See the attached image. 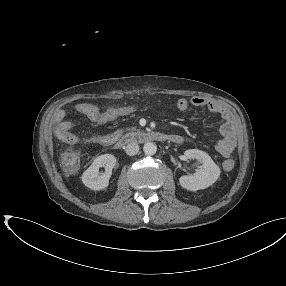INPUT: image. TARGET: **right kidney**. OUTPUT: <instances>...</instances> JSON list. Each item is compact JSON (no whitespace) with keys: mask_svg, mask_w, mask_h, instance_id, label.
<instances>
[{"mask_svg":"<svg viewBox=\"0 0 286 286\" xmlns=\"http://www.w3.org/2000/svg\"><path fill=\"white\" fill-rule=\"evenodd\" d=\"M116 158L112 154H103L94 159L92 164L82 174V182L92 190H103L108 187L112 170L116 165ZM100 167L105 168V172L100 175Z\"/></svg>","mask_w":286,"mask_h":286,"instance_id":"ca27d5eb","label":"right kidney"}]
</instances>
